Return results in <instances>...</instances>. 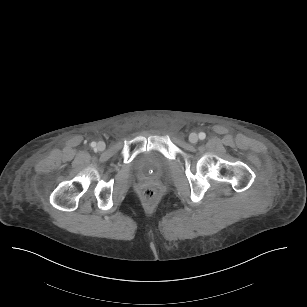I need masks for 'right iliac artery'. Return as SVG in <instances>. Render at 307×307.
<instances>
[{
    "label": "right iliac artery",
    "instance_id": "1",
    "mask_svg": "<svg viewBox=\"0 0 307 307\" xmlns=\"http://www.w3.org/2000/svg\"><path fill=\"white\" fill-rule=\"evenodd\" d=\"M91 146H92V147H96V143H95V142H92V143H91Z\"/></svg>",
    "mask_w": 307,
    "mask_h": 307
}]
</instances>
